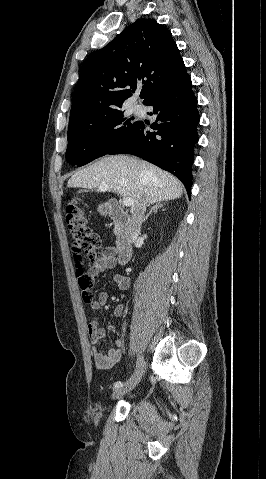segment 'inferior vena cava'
<instances>
[{
	"label": "inferior vena cava",
	"mask_w": 266,
	"mask_h": 479,
	"mask_svg": "<svg viewBox=\"0 0 266 479\" xmlns=\"http://www.w3.org/2000/svg\"><path fill=\"white\" fill-rule=\"evenodd\" d=\"M146 206L147 200L143 197L138 205L132 210L133 223L129 229L132 242H135L140 234L141 223L146 211Z\"/></svg>",
	"instance_id": "602c4592"
}]
</instances>
